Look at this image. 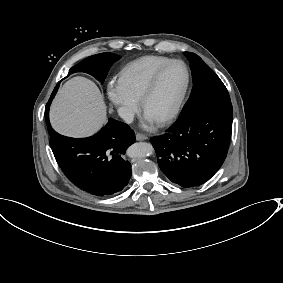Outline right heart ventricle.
<instances>
[{"instance_id": "obj_1", "label": "right heart ventricle", "mask_w": 283, "mask_h": 283, "mask_svg": "<svg viewBox=\"0 0 283 283\" xmlns=\"http://www.w3.org/2000/svg\"><path fill=\"white\" fill-rule=\"evenodd\" d=\"M171 60L162 55L142 57L125 66L119 73V80L127 94L138 101L151 74Z\"/></svg>"}]
</instances>
